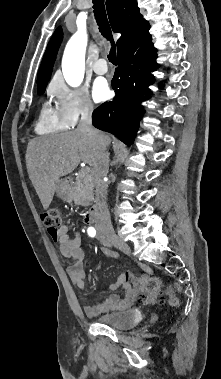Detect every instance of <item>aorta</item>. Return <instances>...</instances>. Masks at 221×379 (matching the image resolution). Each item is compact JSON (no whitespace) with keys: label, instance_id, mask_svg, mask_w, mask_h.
I'll return each instance as SVG.
<instances>
[{"label":"aorta","instance_id":"1","mask_svg":"<svg viewBox=\"0 0 221 379\" xmlns=\"http://www.w3.org/2000/svg\"><path fill=\"white\" fill-rule=\"evenodd\" d=\"M86 46L87 34L85 30H79L65 47L62 71L65 81L72 87H78L83 81Z\"/></svg>","mask_w":221,"mask_h":379}]
</instances>
